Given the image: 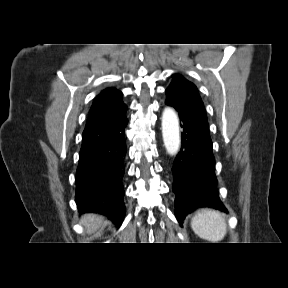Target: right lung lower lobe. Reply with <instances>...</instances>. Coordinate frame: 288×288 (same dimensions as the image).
Segmentation results:
<instances>
[{
	"label": "right lung lower lobe",
	"mask_w": 288,
	"mask_h": 288,
	"mask_svg": "<svg viewBox=\"0 0 288 288\" xmlns=\"http://www.w3.org/2000/svg\"><path fill=\"white\" fill-rule=\"evenodd\" d=\"M128 123V122H127ZM102 143L81 148L75 201L80 213H99L119 227L125 217L123 177L125 130Z\"/></svg>",
	"instance_id": "obj_1"
}]
</instances>
